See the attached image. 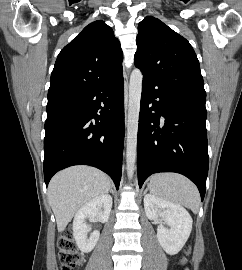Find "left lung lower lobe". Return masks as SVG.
<instances>
[{
	"mask_svg": "<svg viewBox=\"0 0 242 270\" xmlns=\"http://www.w3.org/2000/svg\"><path fill=\"white\" fill-rule=\"evenodd\" d=\"M205 103L206 98L176 93L143 77L137 142L140 188L153 173L176 172L193 181L204 199L209 166Z\"/></svg>",
	"mask_w": 242,
	"mask_h": 270,
	"instance_id": "0a47b994",
	"label": "left lung lower lobe"
}]
</instances>
